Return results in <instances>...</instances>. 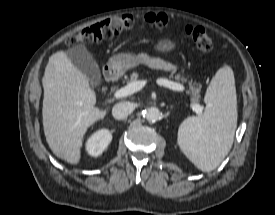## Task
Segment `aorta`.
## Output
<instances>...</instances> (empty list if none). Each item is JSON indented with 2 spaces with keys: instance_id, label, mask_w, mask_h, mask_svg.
I'll return each instance as SVG.
<instances>
[{
  "instance_id": "obj_1",
  "label": "aorta",
  "mask_w": 275,
  "mask_h": 215,
  "mask_svg": "<svg viewBox=\"0 0 275 215\" xmlns=\"http://www.w3.org/2000/svg\"><path fill=\"white\" fill-rule=\"evenodd\" d=\"M145 118L150 121L154 122L160 118V111L156 107L148 108L145 112Z\"/></svg>"
}]
</instances>
